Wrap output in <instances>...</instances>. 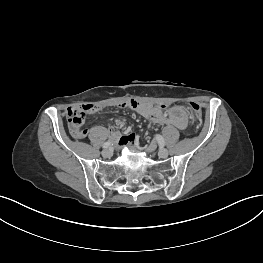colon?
Wrapping results in <instances>:
<instances>
[{"label": "colon", "instance_id": "colon-1", "mask_svg": "<svg viewBox=\"0 0 263 263\" xmlns=\"http://www.w3.org/2000/svg\"><path fill=\"white\" fill-rule=\"evenodd\" d=\"M189 108L192 111L194 120L199 122L202 116L201 107L195 102L188 103ZM86 112L80 109H73L68 111L67 122L70 133L73 137L81 139L86 136L87 131L82 127Z\"/></svg>", "mask_w": 263, "mask_h": 263}]
</instances>
